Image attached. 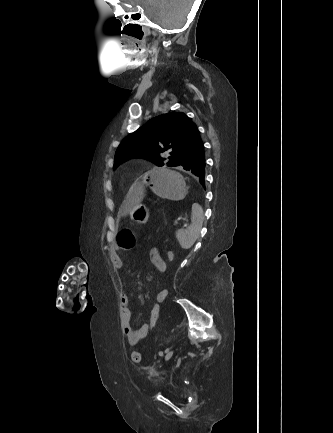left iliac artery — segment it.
I'll return each mask as SVG.
<instances>
[{
    "label": "left iliac artery",
    "mask_w": 333,
    "mask_h": 433,
    "mask_svg": "<svg viewBox=\"0 0 333 433\" xmlns=\"http://www.w3.org/2000/svg\"><path fill=\"white\" fill-rule=\"evenodd\" d=\"M168 351H169V348H167L164 352L166 353V352H168ZM164 352L161 351L159 354H160V355H163Z\"/></svg>",
    "instance_id": "44dca946"
}]
</instances>
